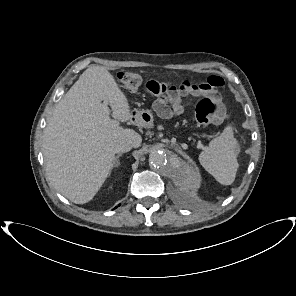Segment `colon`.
<instances>
[{
    "mask_svg": "<svg viewBox=\"0 0 296 296\" xmlns=\"http://www.w3.org/2000/svg\"><path fill=\"white\" fill-rule=\"evenodd\" d=\"M117 79L121 87L128 91L137 90L143 83L142 76L138 72L130 70L120 71L117 75ZM193 86L194 84L189 80H183L179 88L181 90H187ZM157 89V87H154V91ZM195 114L199 126L206 128L213 123L221 121L224 117V110L217 99L205 97L197 103Z\"/></svg>",
    "mask_w": 296,
    "mask_h": 296,
    "instance_id": "colon-1",
    "label": "colon"
}]
</instances>
